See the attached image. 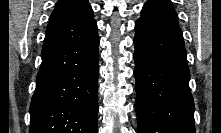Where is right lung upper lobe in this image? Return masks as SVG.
<instances>
[{"label": "right lung upper lobe", "instance_id": "obj_1", "mask_svg": "<svg viewBox=\"0 0 221 133\" xmlns=\"http://www.w3.org/2000/svg\"><path fill=\"white\" fill-rule=\"evenodd\" d=\"M97 32L87 0H59L51 14L43 47L79 45Z\"/></svg>", "mask_w": 221, "mask_h": 133}]
</instances>
